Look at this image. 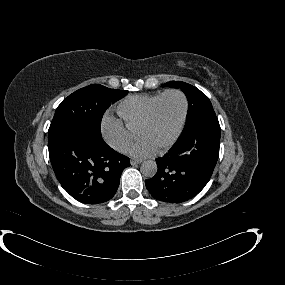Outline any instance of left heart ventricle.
I'll use <instances>...</instances> for the list:
<instances>
[{
	"instance_id": "left-heart-ventricle-1",
	"label": "left heart ventricle",
	"mask_w": 285,
	"mask_h": 285,
	"mask_svg": "<svg viewBox=\"0 0 285 285\" xmlns=\"http://www.w3.org/2000/svg\"><path fill=\"white\" fill-rule=\"evenodd\" d=\"M183 110V100L179 95L166 96L160 103L152 121L142 127L137 135L145 138L155 147L167 143L178 129Z\"/></svg>"
}]
</instances>
